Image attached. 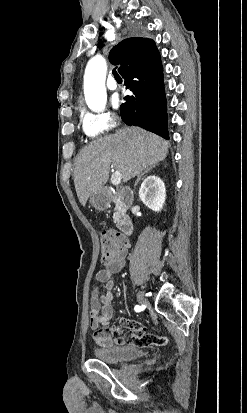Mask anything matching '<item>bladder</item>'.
Segmentation results:
<instances>
[{
  "instance_id": "1",
  "label": "bladder",
  "mask_w": 247,
  "mask_h": 413,
  "mask_svg": "<svg viewBox=\"0 0 247 413\" xmlns=\"http://www.w3.org/2000/svg\"><path fill=\"white\" fill-rule=\"evenodd\" d=\"M95 358L106 362H127L133 359H140L143 351L134 346H121L113 344L106 349H95Z\"/></svg>"
}]
</instances>
